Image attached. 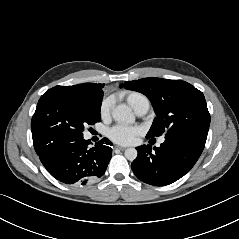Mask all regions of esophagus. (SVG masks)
Wrapping results in <instances>:
<instances>
[{"label":"esophagus","mask_w":239,"mask_h":239,"mask_svg":"<svg viewBox=\"0 0 239 239\" xmlns=\"http://www.w3.org/2000/svg\"><path fill=\"white\" fill-rule=\"evenodd\" d=\"M115 149H119L121 151L125 150L126 148L125 147H122V146H115Z\"/></svg>","instance_id":"34e87169"}]
</instances>
